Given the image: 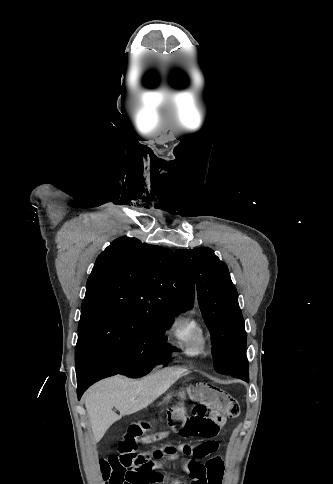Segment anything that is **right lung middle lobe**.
<instances>
[{
    "label": "right lung middle lobe",
    "mask_w": 333,
    "mask_h": 484,
    "mask_svg": "<svg viewBox=\"0 0 333 484\" xmlns=\"http://www.w3.org/2000/svg\"><path fill=\"white\" fill-rule=\"evenodd\" d=\"M176 312H147L123 307L82 308L75 351L76 369L103 357L121 374L139 377L168 364L163 335Z\"/></svg>",
    "instance_id": "dd1d6c3e"
}]
</instances>
